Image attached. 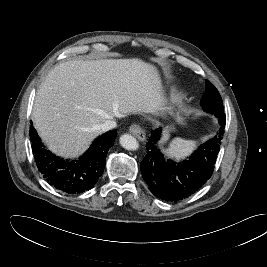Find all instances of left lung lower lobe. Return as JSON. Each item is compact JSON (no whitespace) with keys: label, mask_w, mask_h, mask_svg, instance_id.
Returning a JSON list of instances; mask_svg holds the SVG:
<instances>
[{"label":"left lung lower lobe","mask_w":267,"mask_h":267,"mask_svg":"<svg viewBox=\"0 0 267 267\" xmlns=\"http://www.w3.org/2000/svg\"><path fill=\"white\" fill-rule=\"evenodd\" d=\"M220 129L187 160L174 162L167 159L158 148L161 129L151 132L146 144V155L141 162L143 179L151 192L166 201H179L194 194L211 177L223 139L226 116L224 111L215 114Z\"/></svg>","instance_id":"0a47b994"}]
</instances>
